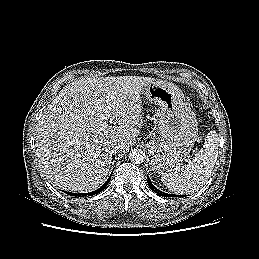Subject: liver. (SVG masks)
<instances>
[{
	"instance_id": "1",
	"label": "liver",
	"mask_w": 259,
	"mask_h": 259,
	"mask_svg": "<svg viewBox=\"0 0 259 259\" xmlns=\"http://www.w3.org/2000/svg\"><path fill=\"white\" fill-rule=\"evenodd\" d=\"M150 77L76 80L44 110L35 130L39 168L56 186L74 192L98 189L112 161L110 145L125 152L143 124L142 97ZM110 122L118 126H106Z\"/></svg>"
}]
</instances>
